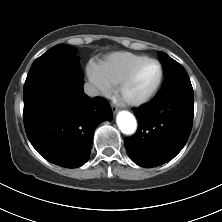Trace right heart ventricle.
Returning <instances> with one entry per match:
<instances>
[{
  "label": "right heart ventricle",
  "mask_w": 222,
  "mask_h": 222,
  "mask_svg": "<svg viewBox=\"0 0 222 222\" xmlns=\"http://www.w3.org/2000/svg\"><path fill=\"white\" fill-rule=\"evenodd\" d=\"M145 58L147 57L144 55L131 52H115L101 61L98 69L102 78L111 86H115L119 84L134 65Z\"/></svg>",
  "instance_id": "1"
}]
</instances>
